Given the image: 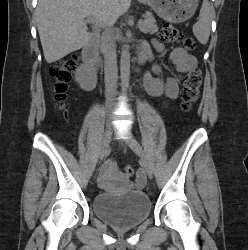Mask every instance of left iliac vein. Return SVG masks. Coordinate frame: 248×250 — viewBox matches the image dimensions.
<instances>
[{"instance_id": "left-iliac-vein-1", "label": "left iliac vein", "mask_w": 248, "mask_h": 250, "mask_svg": "<svg viewBox=\"0 0 248 250\" xmlns=\"http://www.w3.org/2000/svg\"><path fill=\"white\" fill-rule=\"evenodd\" d=\"M127 143L129 147L142 159L143 167L148 175L149 178L153 177V168L149 160L147 159L145 152L140 145V143L132 136L130 135L127 139Z\"/></svg>"}]
</instances>
